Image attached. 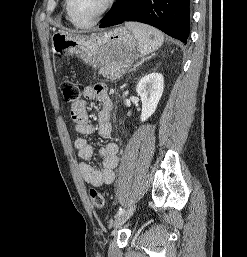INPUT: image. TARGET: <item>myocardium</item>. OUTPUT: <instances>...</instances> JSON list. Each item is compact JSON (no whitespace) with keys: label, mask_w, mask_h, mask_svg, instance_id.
<instances>
[{"label":"myocardium","mask_w":247,"mask_h":257,"mask_svg":"<svg viewBox=\"0 0 247 257\" xmlns=\"http://www.w3.org/2000/svg\"><path fill=\"white\" fill-rule=\"evenodd\" d=\"M70 1L71 0H65V9H66V14L68 19L76 27L86 29L96 25L110 11V9L113 7L116 0H106L105 5L101 9V11L94 17L93 20H91L86 24H81L72 17L71 11H70Z\"/></svg>","instance_id":"obj_1"}]
</instances>
